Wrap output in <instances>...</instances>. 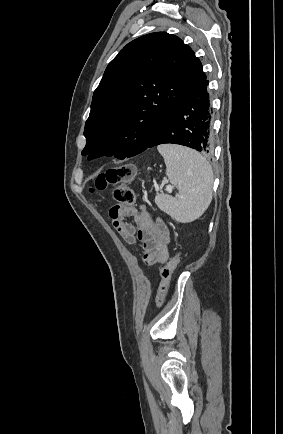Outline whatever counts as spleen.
<instances>
[{
  "label": "spleen",
  "instance_id": "spleen-1",
  "mask_svg": "<svg viewBox=\"0 0 283 434\" xmlns=\"http://www.w3.org/2000/svg\"><path fill=\"white\" fill-rule=\"evenodd\" d=\"M157 149L164 158L166 175L179 193L175 197L159 194L155 203L178 222L196 220L212 200L211 165L198 152L186 147L160 145Z\"/></svg>",
  "mask_w": 283,
  "mask_h": 434
}]
</instances>
